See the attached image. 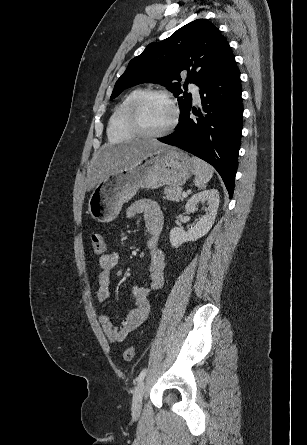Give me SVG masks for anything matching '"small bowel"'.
Instances as JSON below:
<instances>
[{
	"label": "small bowel",
	"instance_id": "small-bowel-1",
	"mask_svg": "<svg viewBox=\"0 0 307 445\" xmlns=\"http://www.w3.org/2000/svg\"><path fill=\"white\" fill-rule=\"evenodd\" d=\"M139 215L144 217L148 234L147 247L151 251L149 282L133 287L132 295L135 306L119 325H116L106 314L98 316L102 330L111 343L124 341L130 333L136 331L147 321L150 313V295L154 290L160 289L164 283L165 261L163 252L158 247L164 220L163 212L156 201L142 199L131 204L126 210L128 218ZM118 262L119 255L116 252L105 253L99 257L101 271L98 275L99 287L96 292L99 303H105L109 298L111 271L117 266Z\"/></svg>",
	"mask_w": 307,
	"mask_h": 445
}]
</instances>
